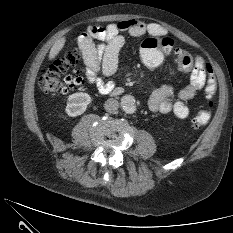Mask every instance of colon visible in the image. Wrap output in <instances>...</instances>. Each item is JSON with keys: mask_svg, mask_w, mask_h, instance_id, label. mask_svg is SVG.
<instances>
[{"mask_svg": "<svg viewBox=\"0 0 233 233\" xmlns=\"http://www.w3.org/2000/svg\"><path fill=\"white\" fill-rule=\"evenodd\" d=\"M172 54L177 68L184 72H191L193 69V58L189 52L183 49H177L174 46V40L165 36H150L146 38L141 45V60L149 69H155L161 65L164 57ZM80 59L78 51H69L56 59L49 65L39 78L40 88L49 94H64L74 87L83 83V79L78 75H67V71L76 66ZM208 74L206 93L211 98L215 92V79L212 75L211 67L205 65ZM211 115L206 110L198 111L192 119L194 128H202L210 121Z\"/></svg>", "mask_w": 233, "mask_h": 233, "instance_id": "obj_1", "label": "colon"}]
</instances>
